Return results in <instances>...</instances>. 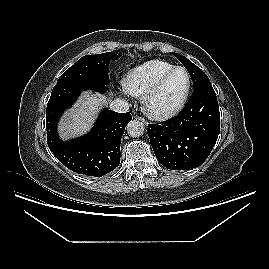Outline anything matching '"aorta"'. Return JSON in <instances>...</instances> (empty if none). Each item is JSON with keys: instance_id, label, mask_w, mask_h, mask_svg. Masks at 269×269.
<instances>
[{"instance_id": "aorta-1", "label": "aorta", "mask_w": 269, "mask_h": 269, "mask_svg": "<svg viewBox=\"0 0 269 269\" xmlns=\"http://www.w3.org/2000/svg\"><path fill=\"white\" fill-rule=\"evenodd\" d=\"M145 126L139 120H132L127 125V133L132 137H139L143 135Z\"/></svg>"}]
</instances>
